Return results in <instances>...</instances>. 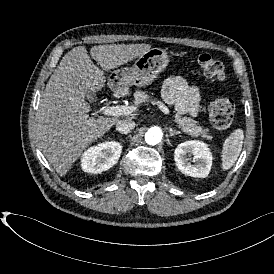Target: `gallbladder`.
Masks as SVG:
<instances>
[{"label": "gallbladder", "mask_w": 274, "mask_h": 274, "mask_svg": "<svg viewBox=\"0 0 274 274\" xmlns=\"http://www.w3.org/2000/svg\"><path fill=\"white\" fill-rule=\"evenodd\" d=\"M94 94L93 93H89L88 96L89 98L92 97Z\"/></svg>", "instance_id": "bac80fb5"}]
</instances>
